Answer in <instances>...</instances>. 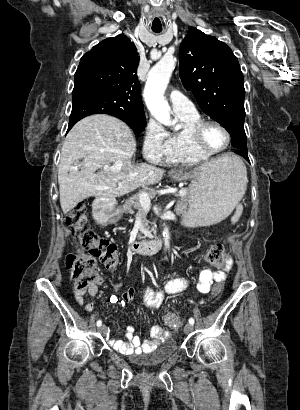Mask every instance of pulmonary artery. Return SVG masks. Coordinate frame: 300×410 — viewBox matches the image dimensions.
I'll return each mask as SVG.
<instances>
[{
    "mask_svg": "<svg viewBox=\"0 0 300 410\" xmlns=\"http://www.w3.org/2000/svg\"><path fill=\"white\" fill-rule=\"evenodd\" d=\"M169 101L174 112L192 113L196 111L193 102L178 91L169 93Z\"/></svg>",
    "mask_w": 300,
    "mask_h": 410,
    "instance_id": "1",
    "label": "pulmonary artery"
}]
</instances>
